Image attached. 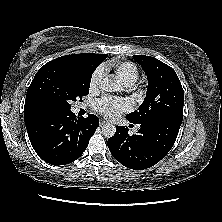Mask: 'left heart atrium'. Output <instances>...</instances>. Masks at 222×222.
<instances>
[{"label":"left heart atrium","instance_id":"left-heart-atrium-1","mask_svg":"<svg viewBox=\"0 0 222 222\" xmlns=\"http://www.w3.org/2000/svg\"><path fill=\"white\" fill-rule=\"evenodd\" d=\"M127 107L125 101L114 97H103L95 103V109L107 118H115Z\"/></svg>","mask_w":222,"mask_h":222}]
</instances>
